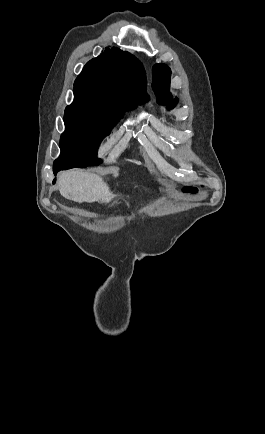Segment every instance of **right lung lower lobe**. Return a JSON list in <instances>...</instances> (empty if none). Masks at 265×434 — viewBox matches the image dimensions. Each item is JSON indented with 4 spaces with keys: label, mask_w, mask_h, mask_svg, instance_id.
I'll return each mask as SVG.
<instances>
[{
    "label": "right lung lower lobe",
    "mask_w": 265,
    "mask_h": 434,
    "mask_svg": "<svg viewBox=\"0 0 265 434\" xmlns=\"http://www.w3.org/2000/svg\"><path fill=\"white\" fill-rule=\"evenodd\" d=\"M61 170H64V168L63 167H58V168H54L53 169V172H54V175H56L59 171H61ZM55 182V180L53 181V183Z\"/></svg>",
    "instance_id": "right-lung-lower-lobe-1"
}]
</instances>
